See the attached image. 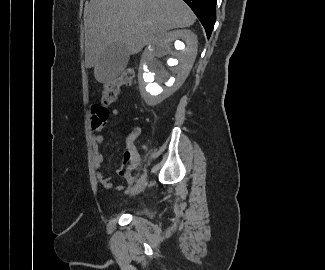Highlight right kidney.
I'll return each mask as SVG.
<instances>
[{"mask_svg": "<svg viewBox=\"0 0 325 270\" xmlns=\"http://www.w3.org/2000/svg\"><path fill=\"white\" fill-rule=\"evenodd\" d=\"M173 42L176 50H173ZM197 43V36L192 31L175 30L145 49L138 80L146 104L157 105L184 83L197 56ZM164 63L169 70L165 69Z\"/></svg>", "mask_w": 325, "mask_h": 270, "instance_id": "right-kidney-1", "label": "right kidney"}]
</instances>
